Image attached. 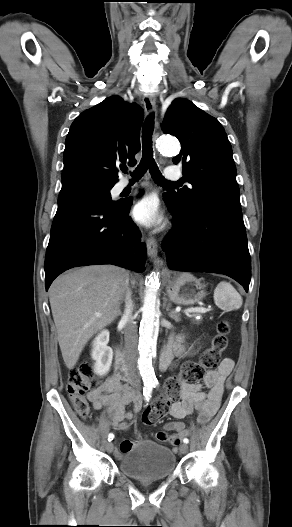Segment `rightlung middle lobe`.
I'll return each instance as SVG.
<instances>
[{"label": "right lung middle lobe", "instance_id": "1", "mask_svg": "<svg viewBox=\"0 0 292 527\" xmlns=\"http://www.w3.org/2000/svg\"><path fill=\"white\" fill-rule=\"evenodd\" d=\"M114 185L104 184L89 178H74L62 182L59 196L78 194L92 196L103 203L116 204L111 199L110 190Z\"/></svg>", "mask_w": 292, "mask_h": 527}]
</instances>
